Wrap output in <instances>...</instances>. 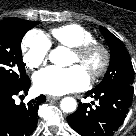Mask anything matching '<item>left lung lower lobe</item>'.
Wrapping results in <instances>:
<instances>
[{"label": "left lung lower lobe", "instance_id": "left-lung-lower-lobe-1", "mask_svg": "<svg viewBox=\"0 0 136 136\" xmlns=\"http://www.w3.org/2000/svg\"><path fill=\"white\" fill-rule=\"evenodd\" d=\"M133 90L132 85H114L88 91L86 95L99 104L92 108L79 103L77 111L67 117L69 125L82 136H112L123 123Z\"/></svg>", "mask_w": 136, "mask_h": 136}]
</instances>
